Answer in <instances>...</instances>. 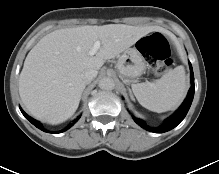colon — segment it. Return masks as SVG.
Masks as SVG:
<instances>
[{
    "label": "colon",
    "mask_w": 219,
    "mask_h": 174,
    "mask_svg": "<svg viewBox=\"0 0 219 174\" xmlns=\"http://www.w3.org/2000/svg\"><path fill=\"white\" fill-rule=\"evenodd\" d=\"M137 48L145 58L148 66L156 74L165 73L172 64L168 42L159 33H154L140 39Z\"/></svg>",
    "instance_id": "5ec220e1"
}]
</instances>
